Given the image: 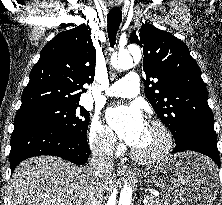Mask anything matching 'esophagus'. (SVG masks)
<instances>
[{
	"mask_svg": "<svg viewBox=\"0 0 222 205\" xmlns=\"http://www.w3.org/2000/svg\"><path fill=\"white\" fill-rule=\"evenodd\" d=\"M118 170H119V171H124V170H125V166H120V167H118Z\"/></svg>",
	"mask_w": 222,
	"mask_h": 205,
	"instance_id": "obj_1",
	"label": "esophagus"
}]
</instances>
